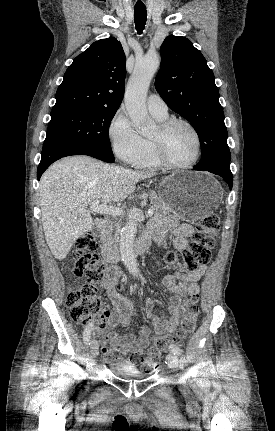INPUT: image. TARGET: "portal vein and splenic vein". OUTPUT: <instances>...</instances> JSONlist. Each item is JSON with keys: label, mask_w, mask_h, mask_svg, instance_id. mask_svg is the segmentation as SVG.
<instances>
[{"label": "portal vein and splenic vein", "mask_w": 275, "mask_h": 431, "mask_svg": "<svg viewBox=\"0 0 275 431\" xmlns=\"http://www.w3.org/2000/svg\"><path fill=\"white\" fill-rule=\"evenodd\" d=\"M90 211L101 213V214H110L113 216H121L123 214V209L119 207L109 206V205H101L99 201L92 202L90 204ZM154 214L153 209L148 210V215L152 216Z\"/></svg>", "instance_id": "1"}]
</instances>
